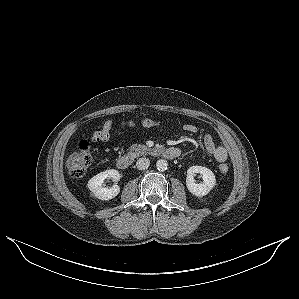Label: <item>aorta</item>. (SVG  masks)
<instances>
[{
  "instance_id": "762f6f07",
  "label": "aorta",
  "mask_w": 299,
  "mask_h": 299,
  "mask_svg": "<svg viewBox=\"0 0 299 299\" xmlns=\"http://www.w3.org/2000/svg\"><path fill=\"white\" fill-rule=\"evenodd\" d=\"M156 167L159 171H165L167 170V167H168V163L166 160L164 159H159L157 162H156Z\"/></svg>"
}]
</instances>
